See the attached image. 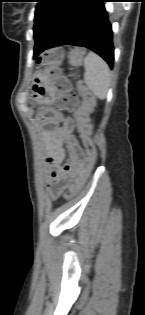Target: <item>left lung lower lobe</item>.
<instances>
[{
    "label": "left lung lower lobe",
    "instance_id": "left-lung-lower-lobe-1",
    "mask_svg": "<svg viewBox=\"0 0 145 315\" xmlns=\"http://www.w3.org/2000/svg\"><path fill=\"white\" fill-rule=\"evenodd\" d=\"M107 0H72L54 22L45 37L35 43L34 59L45 49L75 45L91 49L112 68L114 48L112 27L104 2Z\"/></svg>",
    "mask_w": 145,
    "mask_h": 315
}]
</instances>
